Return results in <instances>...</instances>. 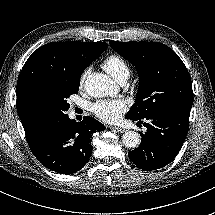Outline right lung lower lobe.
<instances>
[{
    "label": "right lung lower lobe",
    "instance_id": "98d812e1",
    "mask_svg": "<svg viewBox=\"0 0 215 215\" xmlns=\"http://www.w3.org/2000/svg\"><path fill=\"white\" fill-rule=\"evenodd\" d=\"M104 129L105 126L92 117L76 122L67 115L62 120L44 125L28 145L38 161L48 169L73 174L91 156L92 134Z\"/></svg>",
    "mask_w": 215,
    "mask_h": 215
}]
</instances>
